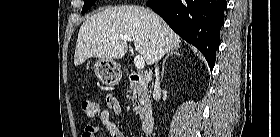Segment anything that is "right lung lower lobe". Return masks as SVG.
<instances>
[{"label":"right lung lower lobe","instance_id":"1","mask_svg":"<svg viewBox=\"0 0 280 137\" xmlns=\"http://www.w3.org/2000/svg\"><path fill=\"white\" fill-rule=\"evenodd\" d=\"M146 5L174 32L198 48L211 69L214 67L226 0H149Z\"/></svg>","mask_w":280,"mask_h":137}]
</instances>
